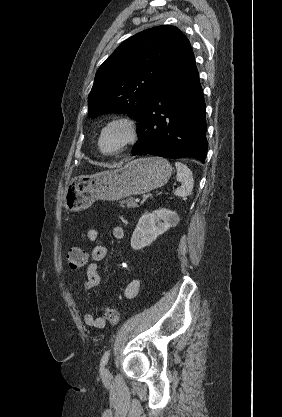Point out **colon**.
Returning <instances> with one entry per match:
<instances>
[{"label":"colon","instance_id":"1","mask_svg":"<svg viewBox=\"0 0 282 417\" xmlns=\"http://www.w3.org/2000/svg\"><path fill=\"white\" fill-rule=\"evenodd\" d=\"M87 256L83 250L78 247L72 248L66 254V263L72 271H76L83 267L86 263ZM104 318L111 324H116L119 321V315L114 308H101Z\"/></svg>","mask_w":282,"mask_h":417}]
</instances>
